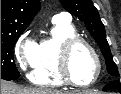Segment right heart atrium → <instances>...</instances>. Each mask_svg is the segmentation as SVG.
Masks as SVG:
<instances>
[{"instance_id":"right-heart-atrium-1","label":"right heart atrium","mask_w":121,"mask_h":94,"mask_svg":"<svg viewBox=\"0 0 121 94\" xmlns=\"http://www.w3.org/2000/svg\"><path fill=\"white\" fill-rule=\"evenodd\" d=\"M37 44L31 39H25L14 50V61L21 70L32 66Z\"/></svg>"}]
</instances>
